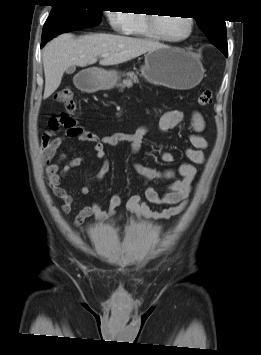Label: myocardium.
<instances>
[{
	"mask_svg": "<svg viewBox=\"0 0 261 355\" xmlns=\"http://www.w3.org/2000/svg\"><path fill=\"white\" fill-rule=\"evenodd\" d=\"M155 15L156 14L147 13V24H148V29L150 30V32L155 36V38H157L159 40H162L165 42H170V43H179V42L185 41L186 39L190 38L194 32L195 21L191 16H186L185 18L187 19L188 24H189V30L186 35H184L180 38H170V37L164 36L161 33V31L159 30L158 18Z\"/></svg>",
	"mask_w": 261,
	"mask_h": 355,
	"instance_id": "obj_1",
	"label": "myocardium"
}]
</instances>
